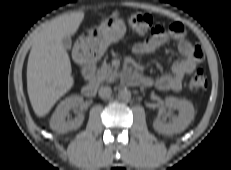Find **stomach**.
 I'll return each mask as SVG.
<instances>
[{"label":"stomach","instance_id":"obj_1","mask_svg":"<svg viewBox=\"0 0 231 170\" xmlns=\"http://www.w3.org/2000/svg\"><path fill=\"white\" fill-rule=\"evenodd\" d=\"M125 32L126 26L123 20L110 16L103 19L97 28L81 36L77 41V46L90 58L99 59L110 44L123 38Z\"/></svg>","mask_w":231,"mask_h":170}]
</instances>
